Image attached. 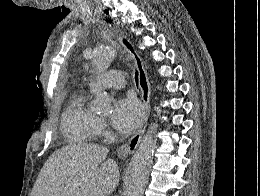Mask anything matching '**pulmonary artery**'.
<instances>
[{
    "label": "pulmonary artery",
    "instance_id": "e3ab8cb5",
    "mask_svg": "<svg viewBox=\"0 0 260 196\" xmlns=\"http://www.w3.org/2000/svg\"><path fill=\"white\" fill-rule=\"evenodd\" d=\"M121 77H125V72H122V69H113L112 74L108 75L109 79H98L92 83V86L94 89L100 88V90H122V85H108L123 83Z\"/></svg>",
    "mask_w": 260,
    "mask_h": 196
}]
</instances>
